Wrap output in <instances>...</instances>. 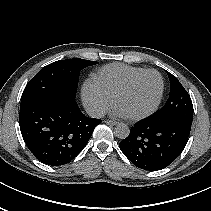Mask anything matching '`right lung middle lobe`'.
Segmentation results:
<instances>
[{"instance_id": "dd1d6c3e", "label": "right lung middle lobe", "mask_w": 211, "mask_h": 211, "mask_svg": "<svg viewBox=\"0 0 211 211\" xmlns=\"http://www.w3.org/2000/svg\"><path fill=\"white\" fill-rule=\"evenodd\" d=\"M95 64L96 61L77 58L59 60L43 67L26 85L20 107L51 97L75 100L79 72Z\"/></svg>"}]
</instances>
